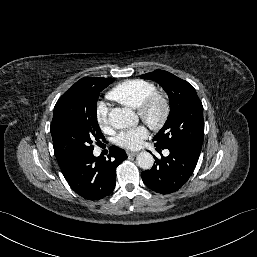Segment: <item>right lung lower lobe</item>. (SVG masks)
I'll list each match as a JSON object with an SVG mask.
<instances>
[{
  "label": "right lung lower lobe",
  "mask_w": 257,
  "mask_h": 257,
  "mask_svg": "<svg viewBox=\"0 0 257 257\" xmlns=\"http://www.w3.org/2000/svg\"><path fill=\"white\" fill-rule=\"evenodd\" d=\"M108 159L95 157L90 153L73 161L70 169L63 173L70 187L80 196L99 200L111 194L115 187L116 168L127 155L125 151L112 146Z\"/></svg>",
  "instance_id": "98d812e1"
}]
</instances>
